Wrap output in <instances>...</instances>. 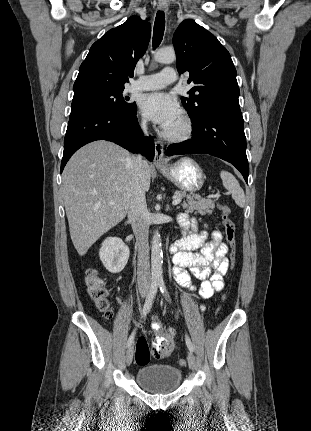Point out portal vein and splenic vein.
<instances>
[{"instance_id": "1", "label": "portal vein and splenic vein", "mask_w": 311, "mask_h": 431, "mask_svg": "<svg viewBox=\"0 0 311 431\" xmlns=\"http://www.w3.org/2000/svg\"><path fill=\"white\" fill-rule=\"evenodd\" d=\"M182 202L181 198H177V200H173L172 206H177V204H180ZM109 206H114V202H108Z\"/></svg>"}]
</instances>
